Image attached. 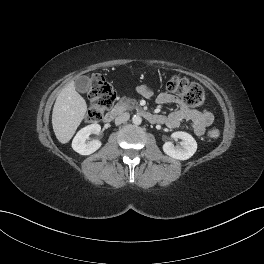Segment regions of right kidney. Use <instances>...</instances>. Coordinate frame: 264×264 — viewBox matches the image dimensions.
Segmentation results:
<instances>
[{
	"instance_id": "obj_1",
	"label": "right kidney",
	"mask_w": 264,
	"mask_h": 264,
	"mask_svg": "<svg viewBox=\"0 0 264 264\" xmlns=\"http://www.w3.org/2000/svg\"><path fill=\"white\" fill-rule=\"evenodd\" d=\"M101 126L91 124L82 128L72 141V148L81 155H90L97 151L102 143L99 140L87 141L91 134H99Z\"/></svg>"
}]
</instances>
